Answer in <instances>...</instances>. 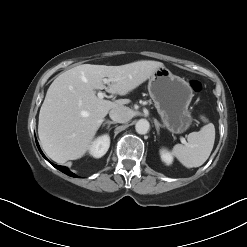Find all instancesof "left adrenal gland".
<instances>
[{
    "label": "left adrenal gland",
    "mask_w": 247,
    "mask_h": 247,
    "mask_svg": "<svg viewBox=\"0 0 247 247\" xmlns=\"http://www.w3.org/2000/svg\"><path fill=\"white\" fill-rule=\"evenodd\" d=\"M154 123H155L157 134L159 135L160 134V127H162V125L157 121V119H154Z\"/></svg>",
    "instance_id": "obj_1"
}]
</instances>
